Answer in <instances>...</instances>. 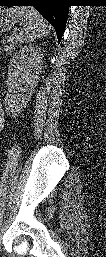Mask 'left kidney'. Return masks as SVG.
I'll return each mask as SVG.
<instances>
[{
  "label": "left kidney",
  "instance_id": "left-kidney-1",
  "mask_svg": "<svg viewBox=\"0 0 106 257\" xmlns=\"http://www.w3.org/2000/svg\"><path fill=\"white\" fill-rule=\"evenodd\" d=\"M43 55L35 46L22 47L11 59L8 69V92L5 105L11 112H19L36 86L41 72Z\"/></svg>",
  "mask_w": 106,
  "mask_h": 257
}]
</instances>
